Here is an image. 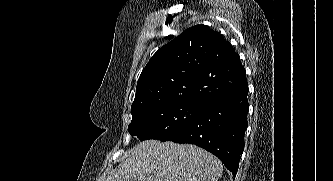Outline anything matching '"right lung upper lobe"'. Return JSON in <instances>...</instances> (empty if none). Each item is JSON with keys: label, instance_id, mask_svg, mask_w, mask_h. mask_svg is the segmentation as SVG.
Returning <instances> with one entry per match:
<instances>
[{"label": "right lung upper lobe", "instance_id": "right-lung-upper-lobe-1", "mask_svg": "<svg viewBox=\"0 0 333 181\" xmlns=\"http://www.w3.org/2000/svg\"><path fill=\"white\" fill-rule=\"evenodd\" d=\"M248 86L239 55L220 33L196 25L159 49L143 69L131 112L165 102H206Z\"/></svg>", "mask_w": 333, "mask_h": 181}]
</instances>
